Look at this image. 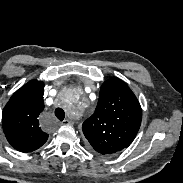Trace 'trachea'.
I'll return each mask as SVG.
<instances>
[{
    "instance_id": "1",
    "label": "trachea",
    "mask_w": 183,
    "mask_h": 183,
    "mask_svg": "<svg viewBox=\"0 0 183 183\" xmlns=\"http://www.w3.org/2000/svg\"><path fill=\"white\" fill-rule=\"evenodd\" d=\"M55 115L60 121H63L65 118V112L62 108H56Z\"/></svg>"
}]
</instances>
